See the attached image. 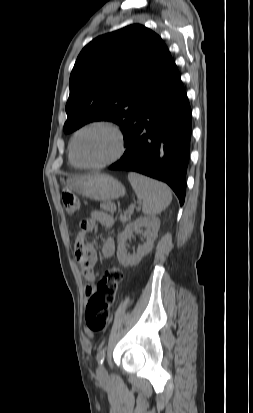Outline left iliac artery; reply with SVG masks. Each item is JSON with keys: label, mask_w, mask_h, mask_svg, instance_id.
Returning <instances> with one entry per match:
<instances>
[{"label": "left iliac artery", "mask_w": 253, "mask_h": 413, "mask_svg": "<svg viewBox=\"0 0 253 413\" xmlns=\"http://www.w3.org/2000/svg\"><path fill=\"white\" fill-rule=\"evenodd\" d=\"M104 358H105V348H102L99 350L97 354L98 363L102 364L104 362Z\"/></svg>", "instance_id": "obj_1"}]
</instances>
